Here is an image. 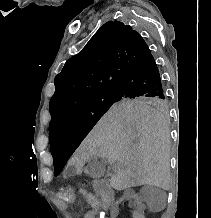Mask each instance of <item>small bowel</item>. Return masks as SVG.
I'll return each mask as SVG.
<instances>
[{"label": "small bowel", "instance_id": "1", "mask_svg": "<svg viewBox=\"0 0 211 218\" xmlns=\"http://www.w3.org/2000/svg\"><path fill=\"white\" fill-rule=\"evenodd\" d=\"M83 193L86 196L87 202L91 205L89 209H87L83 215V218H96L98 214L101 212L102 203L99 202L97 197L90 191L86 189H82ZM133 218H144V212L141 208H137L132 213Z\"/></svg>", "mask_w": 211, "mask_h": 218}]
</instances>
